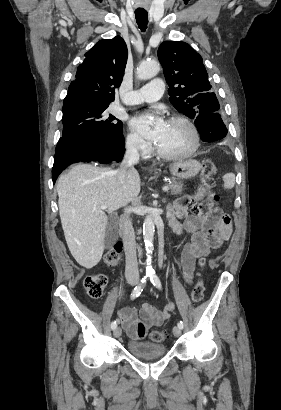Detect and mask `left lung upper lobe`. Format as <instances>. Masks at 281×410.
I'll return each mask as SVG.
<instances>
[{"label":"left lung upper lobe","instance_id":"1","mask_svg":"<svg viewBox=\"0 0 281 410\" xmlns=\"http://www.w3.org/2000/svg\"><path fill=\"white\" fill-rule=\"evenodd\" d=\"M164 76L169 86V100L191 119L201 113H217L219 102L211 92L202 57L187 43L165 41L158 49Z\"/></svg>","mask_w":281,"mask_h":410}]
</instances>
